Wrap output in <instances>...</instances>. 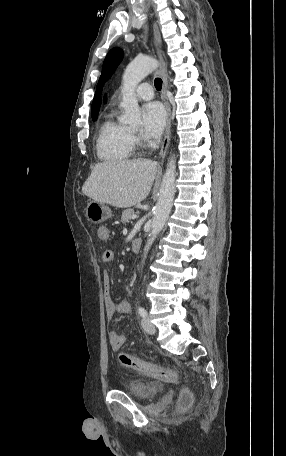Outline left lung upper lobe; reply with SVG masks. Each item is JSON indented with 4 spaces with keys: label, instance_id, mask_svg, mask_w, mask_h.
<instances>
[{
    "label": "left lung upper lobe",
    "instance_id": "left-lung-upper-lobe-1",
    "mask_svg": "<svg viewBox=\"0 0 286 456\" xmlns=\"http://www.w3.org/2000/svg\"><path fill=\"white\" fill-rule=\"evenodd\" d=\"M123 58V51L120 48H113L109 51L107 54L104 63H103V68H102V74L100 76V79L98 81V85L96 88V93L93 99L92 103V110H91V115L92 119L95 121L97 119L99 107L101 105V91H102V86L105 81H107L119 63L121 62Z\"/></svg>",
    "mask_w": 286,
    "mask_h": 456
}]
</instances>
